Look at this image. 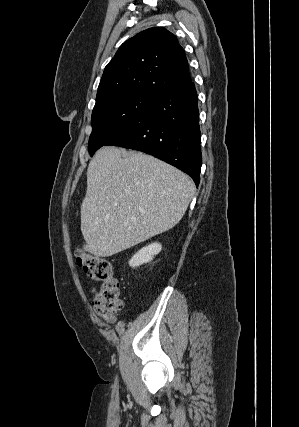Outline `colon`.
<instances>
[{"instance_id":"colon-1","label":"colon","mask_w":299,"mask_h":427,"mask_svg":"<svg viewBox=\"0 0 299 427\" xmlns=\"http://www.w3.org/2000/svg\"><path fill=\"white\" fill-rule=\"evenodd\" d=\"M77 264L95 281L101 283L96 293L93 307L96 315L112 322L123 309L121 283L113 277L111 263L95 256L83 248L75 251Z\"/></svg>"}]
</instances>
